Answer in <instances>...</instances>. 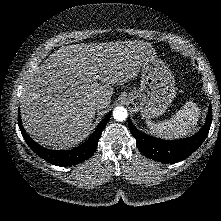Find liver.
<instances>
[{
  "mask_svg": "<svg viewBox=\"0 0 221 221\" xmlns=\"http://www.w3.org/2000/svg\"><path fill=\"white\" fill-rule=\"evenodd\" d=\"M154 48L144 41L72 44L59 48L27 77L21 96V118L38 143L69 149L90 133L102 99L107 108L113 85L135 78Z\"/></svg>",
  "mask_w": 221,
  "mask_h": 221,
  "instance_id": "1",
  "label": "liver"
}]
</instances>
